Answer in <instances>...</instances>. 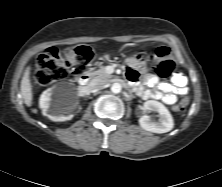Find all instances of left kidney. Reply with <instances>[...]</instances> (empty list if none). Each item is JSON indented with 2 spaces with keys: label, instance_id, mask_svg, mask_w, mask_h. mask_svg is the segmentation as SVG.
Listing matches in <instances>:
<instances>
[{
  "label": "left kidney",
  "instance_id": "left-kidney-1",
  "mask_svg": "<svg viewBox=\"0 0 222 187\" xmlns=\"http://www.w3.org/2000/svg\"><path fill=\"white\" fill-rule=\"evenodd\" d=\"M144 110L153 111L159 114L158 121H153L148 115L140 117L139 124L144 130L161 134L173 129L174 122L172 115L162 103L148 100L144 103Z\"/></svg>",
  "mask_w": 222,
  "mask_h": 187
}]
</instances>
